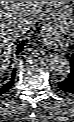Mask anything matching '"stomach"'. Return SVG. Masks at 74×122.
<instances>
[{"instance_id":"obj_1","label":"stomach","mask_w":74,"mask_h":122,"mask_svg":"<svg viewBox=\"0 0 74 122\" xmlns=\"http://www.w3.org/2000/svg\"><path fill=\"white\" fill-rule=\"evenodd\" d=\"M71 1H61V4L54 7L49 21L56 23H66L73 17V8Z\"/></svg>"}]
</instances>
